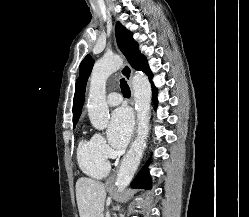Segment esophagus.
<instances>
[{"mask_svg": "<svg viewBox=\"0 0 249 217\" xmlns=\"http://www.w3.org/2000/svg\"><path fill=\"white\" fill-rule=\"evenodd\" d=\"M121 74L124 76V78L128 81L130 89H131V105L134 106V100H133V85H132V77H133V69L132 67L125 62L122 69ZM116 179V172H114L106 181L107 186H112Z\"/></svg>", "mask_w": 249, "mask_h": 217, "instance_id": "34e87169", "label": "esophagus"}]
</instances>
